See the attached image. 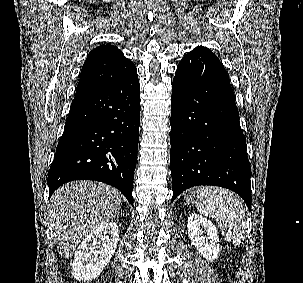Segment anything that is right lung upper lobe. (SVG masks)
<instances>
[{"mask_svg": "<svg viewBox=\"0 0 303 283\" xmlns=\"http://www.w3.org/2000/svg\"><path fill=\"white\" fill-rule=\"evenodd\" d=\"M136 74V67L110 44L93 49L82 66L75 98L110 88Z\"/></svg>", "mask_w": 303, "mask_h": 283, "instance_id": "1", "label": "right lung upper lobe"}]
</instances>
